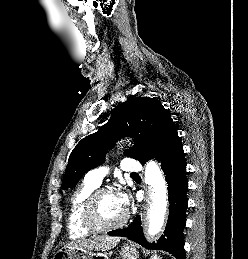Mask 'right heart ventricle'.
I'll use <instances>...</instances> for the list:
<instances>
[{
    "mask_svg": "<svg viewBox=\"0 0 248 259\" xmlns=\"http://www.w3.org/2000/svg\"><path fill=\"white\" fill-rule=\"evenodd\" d=\"M97 187L84 180L71 194L67 213V227L71 237H84L93 232L83 224L81 212L84 202Z\"/></svg>",
    "mask_w": 248,
    "mask_h": 259,
    "instance_id": "1",
    "label": "right heart ventricle"
}]
</instances>
